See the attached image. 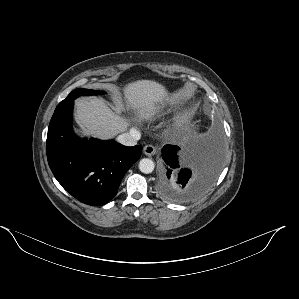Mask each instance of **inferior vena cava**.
Here are the masks:
<instances>
[{
    "label": "inferior vena cava",
    "instance_id": "1",
    "mask_svg": "<svg viewBox=\"0 0 299 299\" xmlns=\"http://www.w3.org/2000/svg\"><path fill=\"white\" fill-rule=\"evenodd\" d=\"M141 134L138 130L132 128L129 132L123 133L117 137V141L125 146H134L140 139Z\"/></svg>",
    "mask_w": 299,
    "mask_h": 299
}]
</instances>
